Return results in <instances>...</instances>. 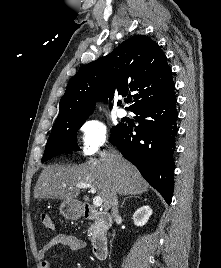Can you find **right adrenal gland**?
Listing matches in <instances>:
<instances>
[{
	"label": "right adrenal gland",
	"mask_w": 221,
	"mask_h": 268,
	"mask_svg": "<svg viewBox=\"0 0 221 268\" xmlns=\"http://www.w3.org/2000/svg\"><path fill=\"white\" fill-rule=\"evenodd\" d=\"M132 197H134V198H139V196H135V195H134V196H133V195H130V196H128V197H125L124 200H123L122 203H121V208H123L125 201H126L128 198H132Z\"/></svg>",
	"instance_id": "obj_1"
}]
</instances>
